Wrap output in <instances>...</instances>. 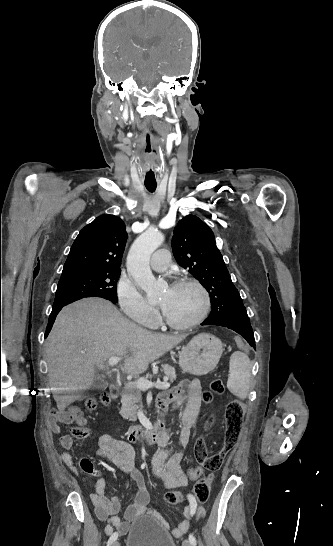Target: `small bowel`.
Returning a JSON list of instances; mask_svg holds the SVG:
<instances>
[{"label": "small bowel", "instance_id": "c3829d8e", "mask_svg": "<svg viewBox=\"0 0 333 546\" xmlns=\"http://www.w3.org/2000/svg\"><path fill=\"white\" fill-rule=\"evenodd\" d=\"M235 337L237 338L236 347L240 349L244 348L246 344L245 340L238 339L240 337L238 334ZM243 351L246 353L248 350L245 348ZM201 403V384L196 379L183 381L177 386L174 392L164 393L158 398V407L162 414L170 406L177 407L185 404V408L181 414L182 427L177 447L174 448L170 445L169 432L165 430L163 436L157 441L159 450L151 461L154 477L165 488L185 487L189 480H196L198 477L196 475H186L179 467V462L189 444L192 430L200 415ZM58 419L63 423H70L75 420L80 425L86 424V420L79 410L78 414L69 412L52 416L51 425L53 427ZM59 441L63 448V451L60 453L61 460L72 472L77 474V464L69 454V451L74 446L72 438L69 435L63 434L60 436ZM97 454L100 458L112 463L120 472L130 475L136 481L139 488L133 503L126 509L124 518L122 519L117 515L120 510L118 499L105 495L106 482L104 479L100 478L96 481L95 489L91 493L90 499L95 507L97 517L108 524L106 532L110 533L112 528H115L120 533H125L129 522L137 520L148 511L154 515L164 528L169 529L168 523L159 512L149 510L150 495L142 474L135 468V451L132 445L111 435H103L98 441ZM78 464L83 471L94 473L93 464L88 458L79 459ZM204 477L210 486L213 474H204ZM184 515L185 518L172 530L173 535L176 537L184 535L189 530L192 519H201L204 517L205 510L197 505L192 495H189V505L184 508Z\"/></svg>", "mask_w": 333, "mask_h": 546}]
</instances>
